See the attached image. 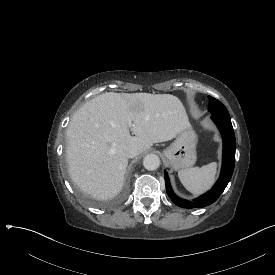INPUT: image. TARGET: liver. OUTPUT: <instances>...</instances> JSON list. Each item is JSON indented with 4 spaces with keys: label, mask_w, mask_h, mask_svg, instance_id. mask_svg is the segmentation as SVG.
<instances>
[{
    "label": "liver",
    "mask_w": 275,
    "mask_h": 275,
    "mask_svg": "<svg viewBox=\"0 0 275 275\" xmlns=\"http://www.w3.org/2000/svg\"><path fill=\"white\" fill-rule=\"evenodd\" d=\"M129 115L135 136L127 129ZM188 122L184 104L171 94H100L80 107L68 125L70 178L84 194L109 200L123 187L127 145H136L142 153L154 143L169 140Z\"/></svg>",
    "instance_id": "6515ba94"
}]
</instances>
